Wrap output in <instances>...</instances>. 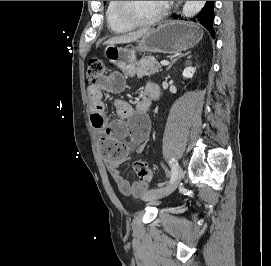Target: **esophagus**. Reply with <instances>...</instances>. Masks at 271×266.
<instances>
[{"mask_svg":"<svg viewBox=\"0 0 271 266\" xmlns=\"http://www.w3.org/2000/svg\"><path fill=\"white\" fill-rule=\"evenodd\" d=\"M182 1H178V5L181 3Z\"/></svg>","mask_w":271,"mask_h":266,"instance_id":"1","label":"esophagus"}]
</instances>
